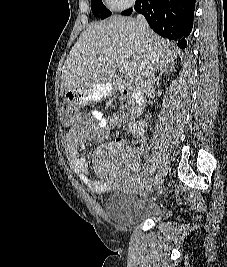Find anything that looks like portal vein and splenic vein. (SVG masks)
Here are the masks:
<instances>
[{"instance_id":"1","label":"portal vein and splenic vein","mask_w":227,"mask_h":267,"mask_svg":"<svg viewBox=\"0 0 227 267\" xmlns=\"http://www.w3.org/2000/svg\"><path fill=\"white\" fill-rule=\"evenodd\" d=\"M99 60L101 61H105L106 59L103 57H100ZM116 64L119 66L120 71L123 73L125 79L130 80L133 78V73L131 68L127 67V65L125 64V62L123 61H117Z\"/></svg>"}]
</instances>
